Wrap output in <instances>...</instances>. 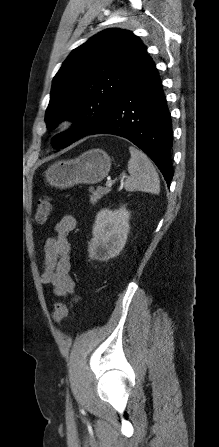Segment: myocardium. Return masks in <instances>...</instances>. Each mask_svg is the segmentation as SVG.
<instances>
[{"label":"myocardium","instance_id":"obj_1","mask_svg":"<svg viewBox=\"0 0 219 447\" xmlns=\"http://www.w3.org/2000/svg\"><path fill=\"white\" fill-rule=\"evenodd\" d=\"M71 127H72V122L70 120H68V119L63 120L59 124V129L62 132L69 130Z\"/></svg>","mask_w":219,"mask_h":447}]
</instances>
